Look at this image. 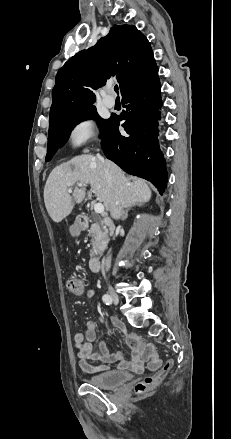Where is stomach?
I'll use <instances>...</instances> for the list:
<instances>
[{
	"label": "stomach",
	"instance_id": "0dacf381",
	"mask_svg": "<svg viewBox=\"0 0 231 439\" xmlns=\"http://www.w3.org/2000/svg\"><path fill=\"white\" fill-rule=\"evenodd\" d=\"M79 230H80V226L77 223H75L73 226H71L70 233L71 235L75 236L78 234Z\"/></svg>",
	"mask_w": 231,
	"mask_h": 439
}]
</instances>
